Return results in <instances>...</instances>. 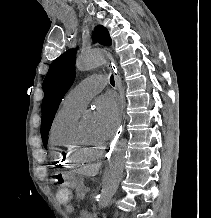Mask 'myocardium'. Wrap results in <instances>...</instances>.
Here are the masks:
<instances>
[{"mask_svg":"<svg viewBox=\"0 0 211 218\" xmlns=\"http://www.w3.org/2000/svg\"><path fill=\"white\" fill-rule=\"evenodd\" d=\"M76 144L82 152L96 156L101 155L107 147L105 141L92 142L88 140L83 135L81 126H78L76 130Z\"/></svg>","mask_w":211,"mask_h":218,"instance_id":"f54148a6","label":"myocardium"}]
</instances>
